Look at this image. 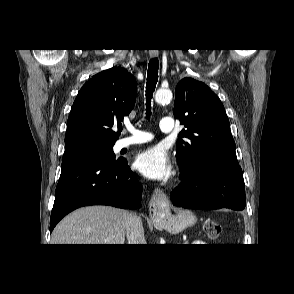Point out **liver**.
Instances as JSON below:
<instances>
[{"instance_id": "obj_1", "label": "liver", "mask_w": 294, "mask_h": 294, "mask_svg": "<svg viewBox=\"0 0 294 294\" xmlns=\"http://www.w3.org/2000/svg\"><path fill=\"white\" fill-rule=\"evenodd\" d=\"M129 212L109 206L75 210L55 227L52 244H124Z\"/></svg>"}]
</instances>
